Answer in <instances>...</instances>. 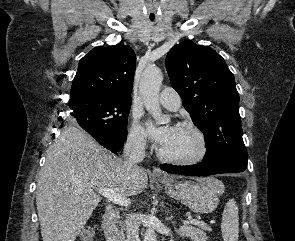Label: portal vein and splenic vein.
Masks as SVG:
<instances>
[{"label":"portal vein and splenic vein","mask_w":295,"mask_h":241,"mask_svg":"<svg viewBox=\"0 0 295 241\" xmlns=\"http://www.w3.org/2000/svg\"><path fill=\"white\" fill-rule=\"evenodd\" d=\"M99 193L103 195L107 200L110 202L116 204V205H121V206H127L130 204V200L127 199L124 196H121L117 194L114 190L109 189V188H99L98 189ZM193 225H200V221L197 219H189V221Z\"/></svg>","instance_id":"18ae733b"}]
</instances>
